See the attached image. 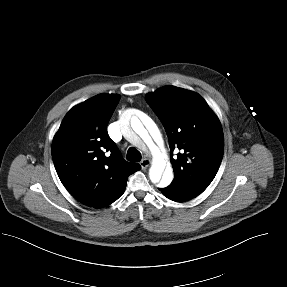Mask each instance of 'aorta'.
<instances>
[{
    "mask_svg": "<svg viewBox=\"0 0 287 287\" xmlns=\"http://www.w3.org/2000/svg\"><path fill=\"white\" fill-rule=\"evenodd\" d=\"M131 127L146 143L153 155V162L149 170L150 180L161 187L168 186L173 180V170L171 165L166 163L160 150L153 142V140H161V133L157 125L149 116L143 114L142 122L136 116L131 118Z\"/></svg>",
    "mask_w": 287,
    "mask_h": 287,
    "instance_id": "1",
    "label": "aorta"
}]
</instances>
